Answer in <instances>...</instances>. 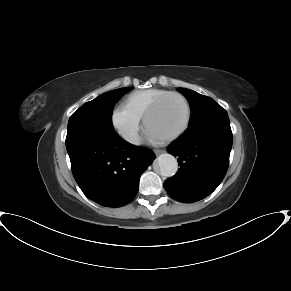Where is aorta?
Returning <instances> with one entry per match:
<instances>
[{
	"instance_id": "1",
	"label": "aorta",
	"mask_w": 291,
	"mask_h": 291,
	"mask_svg": "<svg viewBox=\"0 0 291 291\" xmlns=\"http://www.w3.org/2000/svg\"><path fill=\"white\" fill-rule=\"evenodd\" d=\"M160 173L164 177H172L178 170V162L171 154H161L157 159Z\"/></svg>"
}]
</instances>
